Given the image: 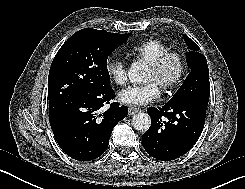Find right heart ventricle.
Masks as SVG:
<instances>
[{
  "instance_id": "e07e8e85",
  "label": "right heart ventricle",
  "mask_w": 245,
  "mask_h": 189,
  "mask_svg": "<svg viewBox=\"0 0 245 189\" xmlns=\"http://www.w3.org/2000/svg\"><path fill=\"white\" fill-rule=\"evenodd\" d=\"M168 52H170V49L165 43L157 39H150L132 46L127 55L150 64Z\"/></svg>"
}]
</instances>
